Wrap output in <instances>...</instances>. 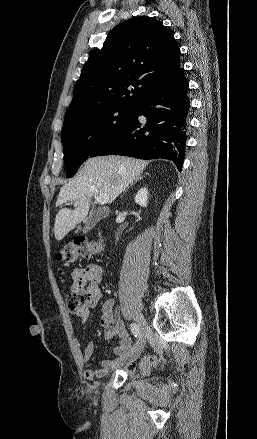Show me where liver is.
Returning <instances> with one entry per match:
<instances>
[{"label": "liver", "mask_w": 257, "mask_h": 439, "mask_svg": "<svg viewBox=\"0 0 257 439\" xmlns=\"http://www.w3.org/2000/svg\"><path fill=\"white\" fill-rule=\"evenodd\" d=\"M148 162L129 157L102 156L89 158L78 175L60 189L56 206L71 202L74 210L62 208L56 215L54 235L62 240L88 215L91 198L107 193L113 202L145 169Z\"/></svg>", "instance_id": "1"}]
</instances>
